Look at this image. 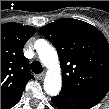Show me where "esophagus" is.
Masks as SVG:
<instances>
[{"label": "esophagus", "instance_id": "1", "mask_svg": "<svg viewBox=\"0 0 109 109\" xmlns=\"http://www.w3.org/2000/svg\"><path fill=\"white\" fill-rule=\"evenodd\" d=\"M44 77H45V73H41V74L39 75V79H41V80H43Z\"/></svg>", "mask_w": 109, "mask_h": 109}]
</instances>
